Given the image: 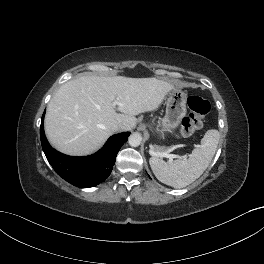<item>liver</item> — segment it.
Returning a JSON list of instances; mask_svg holds the SVG:
<instances>
[{"label":"liver","instance_id":"1","mask_svg":"<svg viewBox=\"0 0 264 264\" xmlns=\"http://www.w3.org/2000/svg\"><path fill=\"white\" fill-rule=\"evenodd\" d=\"M173 89L174 83L154 77L81 76L70 80L49 102L47 138L65 154H90L115 132L114 124H123L121 131L131 130L136 126L135 115L156 110Z\"/></svg>","mask_w":264,"mask_h":264}]
</instances>
